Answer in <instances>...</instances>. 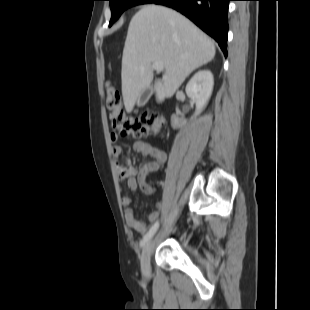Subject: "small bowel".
<instances>
[{"label": "small bowel", "instance_id": "1", "mask_svg": "<svg viewBox=\"0 0 310 310\" xmlns=\"http://www.w3.org/2000/svg\"><path fill=\"white\" fill-rule=\"evenodd\" d=\"M120 139L116 133L110 134V141L112 145V155L115 158V166L118 178L121 181H126L127 187L131 191H136L138 188L146 194L151 195L154 192L153 187L147 183L146 179L150 173L157 172L166 162L167 155L160 148L144 142L136 141L133 144V150L152 160L144 163L140 168L135 167L130 159L122 157V149L117 144ZM122 204L125 208V221L129 228L133 229L139 234H144L147 226L144 220L138 219L133 210L130 208L131 199L128 196L122 197ZM159 217L157 211L151 212L148 216L150 222H155Z\"/></svg>", "mask_w": 310, "mask_h": 310}]
</instances>
